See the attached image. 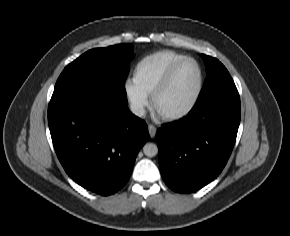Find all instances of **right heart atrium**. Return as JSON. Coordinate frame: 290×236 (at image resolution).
Wrapping results in <instances>:
<instances>
[{
  "mask_svg": "<svg viewBox=\"0 0 290 236\" xmlns=\"http://www.w3.org/2000/svg\"><path fill=\"white\" fill-rule=\"evenodd\" d=\"M124 89L131 111L137 116L143 115L148 105V95L133 80L126 81Z\"/></svg>",
  "mask_w": 290,
  "mask_h": 236,
  "instance_id": "1",
  "label": "right heart atrium"
}]
</instances>
